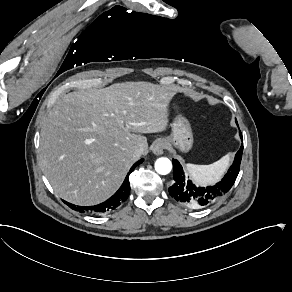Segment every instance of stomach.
<instances>
[{"instance_id": "obj_1", "label": "stomach", "mask_w": 292, "mask_h": 292, "mask_svg": "<svg viewBox=\"0 0 292 292\" xmlns=\"http://www.w3.org/2000/svg\"><path fill=\"white\" fill-rule=\"evenodd\" d=\"M172 132L165 138L181 151L187 152L193 145V134L189 121L182 115H177L171 124Z\"/></svg>"}]
</instances>
